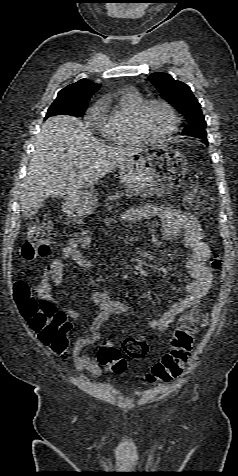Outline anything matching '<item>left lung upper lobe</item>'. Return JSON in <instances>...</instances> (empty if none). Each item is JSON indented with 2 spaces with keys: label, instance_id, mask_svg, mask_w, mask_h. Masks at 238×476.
<instances>
[{
  "label": "left lung upper lobe",
  "instance_id": "5c2ea615",
  "mask_svg": "<svg viewBox=\"0 0 238 476\" xmlns=\"http://www.w3.org/2000/svg\"><path fill=\"white\" fill-rule=\"evenodd\" d=\"M149 78L162 98L171 103L186 118L188 126L184 128L182 134L199 137L205 142L207 140L206 122L201 105L190 87L163 72L152 73Z\"/></svg>",
  "mask_w": 238,
  "mask_h": 476
}]
</instances>
